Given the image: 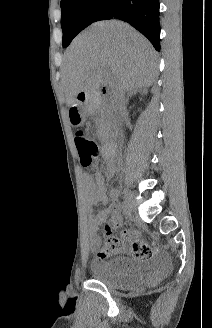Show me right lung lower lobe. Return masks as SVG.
<instances>
[{
    "instance_id": "right-lung-lower-lobe-1",
    "label": "right lung lower lobe",
    "mask_w": 212,
    "mask_h": 328,
    "mask_svg": "<svg viewBox=\"0 0 212 328\" xmlns=\"http://www.w3.org/2000/svg\"><path fill=\"white\" fill-rule=\"evenodd\" d=\"M113 17L131 24L160 50L159 0H104L93 22Z\"/></svg>"
}]
</instances>
